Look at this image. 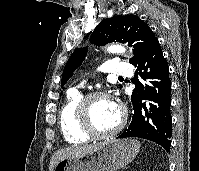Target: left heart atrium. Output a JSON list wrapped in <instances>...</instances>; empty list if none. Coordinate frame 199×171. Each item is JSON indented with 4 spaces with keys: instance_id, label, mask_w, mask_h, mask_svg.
<instances>
[{
    "instance_id": "left-heart-atrium-1",
    "label": "left heart atrium",
    "mask_w": 199,
    "mask_h": 171,
    "mask_svg": "<svg viewBox=\"0 0 199 171\" xmlns=\"http://www.w3.org/2000/svg\"><path fill=\"white\" fill-rule=\"evenodd\" d=\"M111 103H112V106H113V107L118 108V105H117V103H116L115 101H112V100H111Z\"/></svg>"
}]
</instances>
